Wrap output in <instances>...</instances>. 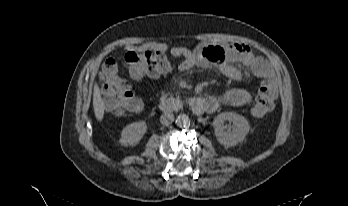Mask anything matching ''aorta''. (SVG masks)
Wrapping results in <instances>:
<instances>
[{
	"mask_svg": "<svg viewBox=\"0 0 348 206\" xmlns=\"http://www.w3.org/2000/svg\"><path fill=\"white\" fill-rule=\"evenodd\" d=\"M190 124V119L186 114H180L176 118V125L178 127H186Z\"/></svg>",
	"mask_w": 348,
	"mask_h": 206,
	"instance_id": "obj_1",
	"label": "aorta"
}]
</instances>
